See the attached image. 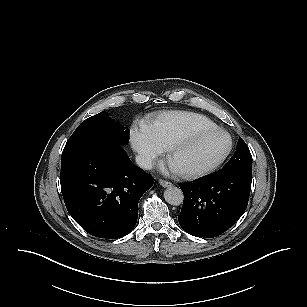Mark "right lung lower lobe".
<instances>
[{"label": "right lung lower lobe", "mask_w": 307, "mask_h": 307, "mask_svg": "<svg viewBox=\"0 0 307 307\" xmlns=\"http://www.w3.org/2000/svg\"><path fill=\"white\" fill-rule=\"evenodd\" d=\"M153 182L118 143L95 144L61 160L66 208L87 233L99 238L117 239L132 231L138 202Z\"/></svg>", "instance_id": "1"}]
</instances>
